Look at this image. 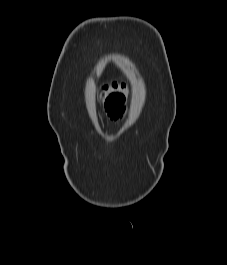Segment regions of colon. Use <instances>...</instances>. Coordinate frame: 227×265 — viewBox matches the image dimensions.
I'll use <instances>...</instances> for the list:
<instances>
[{
    "label": "colon",
    "instance_id": "obj_1",
    "mask_svg": "<svg viewBox=\"0 0 227 265\" xmlns=\"http://www.w3.org/2000/svg\"><path fill=\"white\" fill-rule=\"evenodd\" d=\"M126 95V86L123 83L115 82L102 86L100 97L110 118L118 119L123 114Z\"/></svg>",
    "mask_w": 227,
    "mask_h": 265
}]
</instances>
